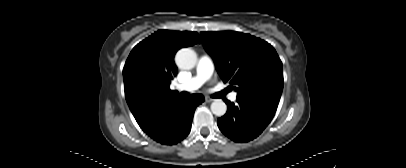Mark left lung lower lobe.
<instances>
[{"label": "left lung lower lobe", "mask_w": 406, "mask_h": 168, "mask_svg": "<svg viewBox=\"0 0 406 168\" xmlns=\"http://www.w3.org/2000/svg\"><path fill=\"white\" fill-rule=\"evenodd\" d=\"M227 113L218 119L221 132L235 142L256 138L272 120L277 106L260 101L237 98V103L224 100Z\"/></svg>", "instance_id": "1"}]
</instances>
